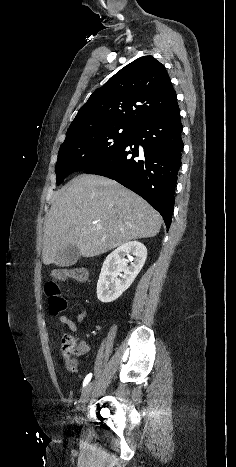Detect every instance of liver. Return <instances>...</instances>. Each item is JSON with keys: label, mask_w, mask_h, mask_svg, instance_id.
Returning a JSON list of instances; mask_svg holds the SVG:
<instances>
[{"label": "liver", "mask_w": 236, "mask_h": 467, "mask_svg": "<svg viewBox=\"0 0 236 467\" xmlns=\"http://www.w3.org/2000/svg\"><path fill=\"white\" fill-rule=\"evenodd\" d=\"M161 217L143 198L109 178L81 174L58 190L47 215L42 259L76 246L84 257L103 254L131 240L156 236Z\"/></svg>", "instance_id": "liver-1"}]
</instances>
